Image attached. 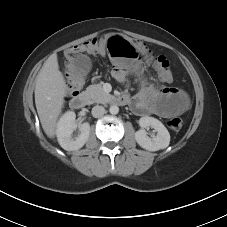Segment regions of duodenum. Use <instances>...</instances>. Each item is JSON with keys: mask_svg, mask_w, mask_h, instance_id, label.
Instances as JSON below:
<instances>
[{"mask_svg": "<svg viewBox=\"0 0 227 227\" xmlns=\"http://www.w3.org/2000/svg\"><path fill=\"white\" fill-rule=\"evenodd\" d=\"M90 100V97L87 93H78L71 99V107L74 109H81L85 107ZM115 102L119 105H125L128 102V99L125 96H119L115 99Z\"/></svg>", "mask_w": 227, "mask_h": 227, "instance_id": "1", "label": "duodenum"}]
</instances>
